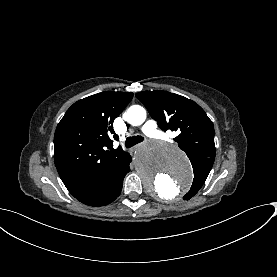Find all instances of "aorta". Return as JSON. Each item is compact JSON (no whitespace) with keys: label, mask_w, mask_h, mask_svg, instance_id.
Instances as JSON below:
<instances>
[{"label":"aorta","mask_w":277,"mask_h":277,"mask_svg":"<svg viewBox=\"0 0 277 277\" xmlns=\"http://www.w3.org/2000/svg\"><path fill=\"white\" fill-rule=\"evenodd\" d=\"M126 119L134 126L146 119L140 105L127 110ZM135 166L146 191L160 201H173L192 184L188 159L177 146L163 141H146L139 145Z\"/></svg>","instance_id":"1"}]
</instances>
